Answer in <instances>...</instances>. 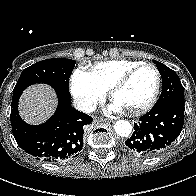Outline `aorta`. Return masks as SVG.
<instances>
[{
    "label": "aorta",
    "mask_w": 196,
    "mask_h": 196,
    "mask_svg": "<svg viewBox=\"0 0 196 196\" xmlns=\"http://www.w3.org/2000/svg\"><path fill=\"white\" fill-rule=\"evenodd\" d=\"M114 130L121 137H128L132 131V125L127 120H118L114 124Z\"/></svg>",
    "instance_id": "aorta-1"
}]
</instances>
